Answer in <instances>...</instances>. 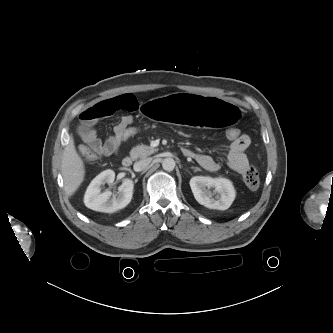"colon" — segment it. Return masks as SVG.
<instances>
[{"label": "colon", "mask_w": 333, "mask_h": 333, "mask_svg": "<svg viewBox=\"0 0 333 333\" xmlns=\"http://www.w3.org/2000/svg\"><path fill=\"white\" fill-rule=\"evenodd\" d=\"M141 132L139 127H136L132 124L125 125L118 129L117 133L120 139L123 141L131 140L137 137ZM242 136V133L237 128H228L226 130V137L230 141H234L239 139ZM81 157L88 162L96 161L99 159L100 155L89 149H82L80 150ZM243 181L247 188L251 190H255L260 185V176L257 168L255 166H250L244 172Z\"/></svg>", "instance_id": "obj_1"}]
</instances>
